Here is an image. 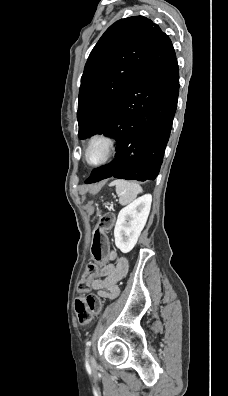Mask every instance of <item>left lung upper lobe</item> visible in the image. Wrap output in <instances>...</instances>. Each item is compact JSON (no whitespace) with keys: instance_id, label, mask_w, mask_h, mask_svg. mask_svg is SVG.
Returning a JSON list of instances; mask_svg holds the SVG:
<instances>
[{"instance_id":"obj_1","label":"left lung upper lobe","mask_w":228,"mask_h":396,"mask_svg":"<svg viewBox=\"0 0 228 396\" xmlns=\"http://www.w3.org/2000/svg\"><path fill=\"white\" fill-rule=\"evenodd\" d=\"M161 32L146 17L133 16L116 21L102 35L81 78L77 111L80 138L104 133Z\"/></svg>"}]
</instances>
